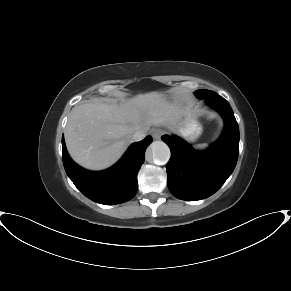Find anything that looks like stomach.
I'll list each match as a JSON object with an SVG mask.
<instances>
[{
    "mask_svg": "<svg viewBox=\"0 0 291 291\" xmlns=\"http://www.w3.org/2000/svg\"><path fill=\"white\" fill-rule=\"evenodd\" d=\"M175 121L171 124H174ZM178 132L187 140L194 141L201 135L202 126L193 116L186 114Z\"/></svg>",
    "mask_w": 291,
    "mask_h": 291,
    "instance_id": "stomach-1",
    "label": "stomach"
}]
</instances>
